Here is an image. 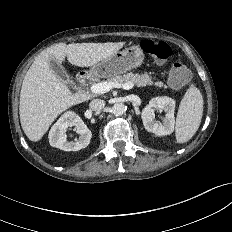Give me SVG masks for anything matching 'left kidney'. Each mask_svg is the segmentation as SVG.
<instances>
[{"mask_svg": "<svg viewBox=\"0 0 232 232\" xmlns=\"http://www.w3.org/2000/svg\"><path fill=\"white\" fill-rule=\"evenodd\" d=\"M162 109L166 112L163 123L155 121L152 115V109ZM175 101L167 96L155 97L149 101V104L142 111V121L144 128L148 132H152L157 136L169 135L174 131L175 127Z\"/></svg>", "mask_w": 232, "mask_h": 232, "instance_id": "5707ae66", "label": "left kidney"}]
</instances>
